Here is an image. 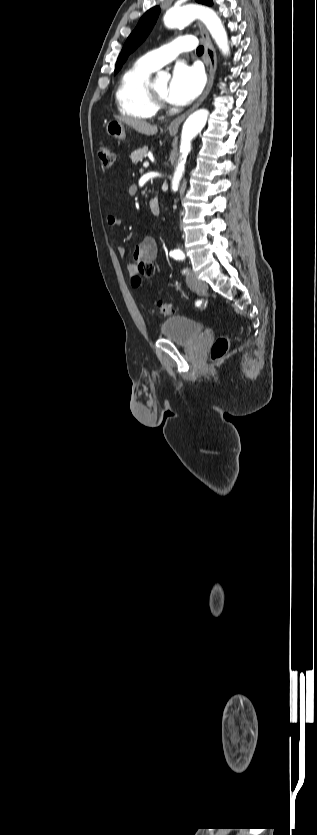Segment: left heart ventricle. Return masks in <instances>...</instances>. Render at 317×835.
Returning <instances> with one entry per match:
<instances>
[{"instance_id": "obj_1", "label": "left heart ventricle", "mask_w": 317, "mask_h": 835, "mask_svg": "<svg viewBox=\"0 0 317 835\" xmlns=\"http://www.w3.org/2000/svg\"><path fill=\"white\" fill-rule=\"evenodd\" d=\"M169 83L167 81H159L153 84L154 90L163 98H167Z\"/></svg>"}]
</instances>
